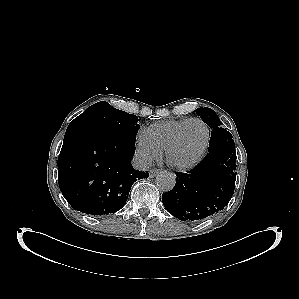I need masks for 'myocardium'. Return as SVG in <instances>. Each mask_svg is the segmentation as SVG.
Returning <instances> with one entry per match:
<instances>
[{
  "label": "myocardium",
  "instance_id": "f54148a6",
  "mask_svg": "<svg viewBox=\"0 0 299 299\" xmlns=\"http://www.w3.org/2000/svg\"><path fill=\"white\" fill-rule=\"evenodd\" d=\"M193 122H197L200 123L201 125L204 126L205 131H206V136H205V141L204 144L201 148V150L199 151V153L190 161L185 162V163H180L177 162L175 160L172 159V151L174 150V148L177 146L181 135L183 133V131L185 130V128L193 123ZM209 141H210V129L208 127V125L201 119L199 118H192L187 120L173 135L172 139L170 140V142L168 143V145L166 146L164 152H165V157L166 160L168 161L169 164H171L173 167L179 169V170H188L192 167H194L195 165H197L203 158L208 146H209Z\"/></svg>",
  "mask_w": 299,
  "mask_h": 299
}]
</instances>
